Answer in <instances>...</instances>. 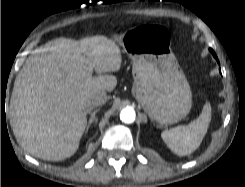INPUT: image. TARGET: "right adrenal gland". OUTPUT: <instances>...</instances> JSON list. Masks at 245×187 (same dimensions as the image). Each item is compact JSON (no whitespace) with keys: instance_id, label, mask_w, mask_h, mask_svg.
I'll list each match as a JSON object with an SVG mask.
<instances>
[{"instance_id":"2a0ac1e0","label":"right adrenal gland","mask_w":245,"mask_h":187,"mask_svg":"<svg viewBox=\"0 0 245 187\" xmlns=\"http://www.w3.org/2000/svg\"><path fill=\"white\" fill-rule=\"evenodd\" d=\"M99 111H100V108H97V109L93 110L92 112L89 111L90 114H91V116H90V119L88 121L87 131L89 130V128H90V126H91L92 123H97V118L95 117V115Z\"/></svg>"}]
</instances>
